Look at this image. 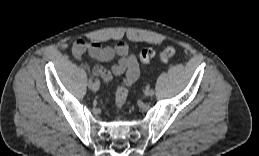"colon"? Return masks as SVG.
I'll return each mask as SVG.
<instances>
[{
	"mask_svg": "<svg viewBox=\"0 0 259 156\" xmlns=\"http://www.w3.org/2000/svg\"><path fill=\"white\" fill-rule=\"evenodd\" d=\"M176 53V50L173 46L167 45L164 48L160 50L159 56L162 61H167L170 58H172ZM155 56V50L153 48H144L140 52V60L143 64H148L151 62V60ZM127 86L124 85L123 83H120L116 87L115 91V101H116V106L120 109L122 108L127 100Z\"/></svg>",
	"mask_w": 259,
	"mask_h": 156,
	"instance_id": "colon-1",
	"label": "colon"
}]
</instances>
